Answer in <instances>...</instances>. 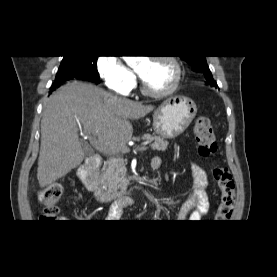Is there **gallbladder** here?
<instances>
[{
	"mask_svg": "<svg viewBox=\"0 0 277 277\" xmlns=\"http://www.w3.org/2000/svg\"><path fill=\"white\" fill-rule=\"evenodd\" d=\"M83 150H84V153H85L86 155H90V154H91L90 149L87 148V146H86L85 144L83 145Z\"/></svg>",
	"mask_w": 277,
	"mask_h": 277,
	"instance_id": "1",
	"label": "gallbladder"
}]
</instances>
